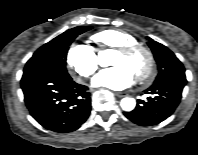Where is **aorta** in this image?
<instances>
[{
	"mask_svg": "<svg viewBox=\"0 0 198 155\" xmlns=\"http://www.w3.org/2000/svg\"><path fill=\"white\" fill-rule=\"evenodd\" d=\"M114 51L111 49H106L98 53V64L102 67H107L112 65ZM120 106L124 111H132L136 106V101L134 98L125 97L121 100Z\"/></svg>",
	"mask_w": 198,
	"mask_h": 155,
	"instance_id": "obj_1",
	"label": "aorta"
}]
</instances>
